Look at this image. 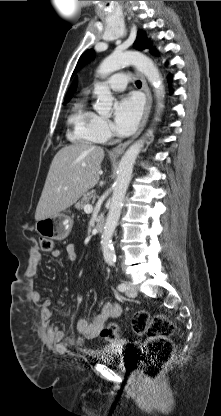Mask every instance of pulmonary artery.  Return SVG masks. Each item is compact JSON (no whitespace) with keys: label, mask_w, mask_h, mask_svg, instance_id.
<instances>
[{"label":"pulmonary artery","mask_w":221,"mask_h":416,"mask_svg":"<svg viewBox=\"0 0 221 416\" xmlns=\"http://www.w3.org/2000/svg\"><path fill=\"white\" fill-rule=\"evenodd\" d=\"M129 81H130V78L125 72H119V73L114 74L105 83L113 91H122L125 89Z\"/></svg>","instance_id":"e3ab8cb5"}]
</instances>
